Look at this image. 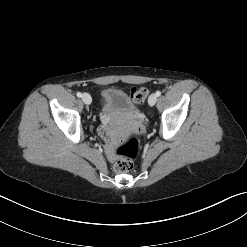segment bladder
<instances>
[{"instance_id": "obj_1", "label": "bladder", "mask_w": 247, "mask_h": 247, "mask_svg": "<svg viewBox=\"0 0 247 247\" xmlns=\"http://www.w3.org/2000/svg\"><path fill=\"white\" fill-rule=\"evenodd\" d=\"M103 105L102 112L107 115L112 114H131L135 111L136 105L134 100L126 92L108 88L102 93Z\"/></svg>"}]
</instances>
